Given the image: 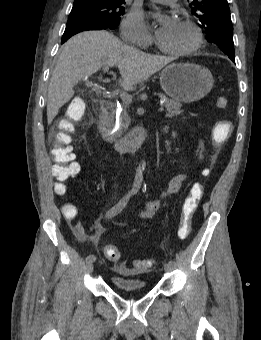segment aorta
<instances>
[{
	"mask_svg": "<svg viewBox=\"0 0 261 340\" xmlns=\"http://www.w3.org/2000/svg\"><path fill=\"white\" fill-rule=\"evenodd\" d=\"M143 163L139 164L137 169H136V174H135V178L133 181V185L131 188V194H137L141 188L142 182H143Z\"/></svg>",
	"mask_w": 261,
	"mask_h": 340,
	"instance_id": "aorta-1",
	"label": "aorta"
}]
</instances>
